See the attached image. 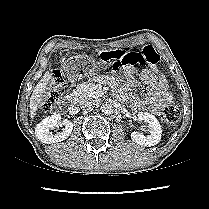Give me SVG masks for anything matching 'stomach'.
Segmentation results:
<instances>
[{
    "mask_svg": "<svg viewBox=\"0 0 209 209\" xmlns=\"http://www.w3.org/2000/svg\"><path fill=\"white\" fill-rule=\"evenodd\" d=\"M103 61H101L102 63ZM99 67V62L92 55L74 56L65 60L62 70L70 78L83 76L87 77L95 73Z\"/></svg>",
    "mask_w": 209,
    "mask_h": 209,
    "instance_id": "0dacf381",
    "label": "stomach"
}]
</instances>
